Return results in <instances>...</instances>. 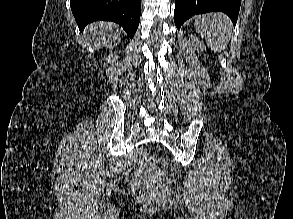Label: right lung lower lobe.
<instances>
[{"instance_id":"obj_1","label":"right lung lower lobe","mask_w":293,"mask_h":219,"mask_svg":"<svg viewBox=\"0 0 293 219\" xmlns=\"http://www.w3.org/2000/svg\"><path fill=\"white\" fill-rule=\"evenodd\" d=\"M79 30L93 21L118 23L133 38L140 21L141 0H70Z\"/></svg>"}]
</instances>
